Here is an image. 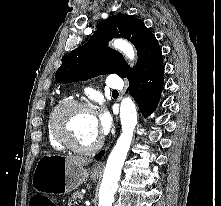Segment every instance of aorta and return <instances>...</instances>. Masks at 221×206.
<instances>
[{
    "label": "aorta",
    "mask_w": 221,
    "mask_h": 206,
    "mask_svg": "<svg viewBox=\"0 0 221 206\" xmlns=\"http://www.w3.org/2000/svg\"><path fill=\"white\" fill-rule=\"evenodd\" d=\"M112 46L123 52L130 61L134 60L135 53L133 46L126 40L115 39L112 42ZM120 120L122 133L106 163L99 191L98 206H112L114 195L118 188L121 169L131 146L133 132L137 125V111L130 97L124 98L121 102Z\"/></svg>",
    "instance_id": "aorta-1"
}]
</instances>
